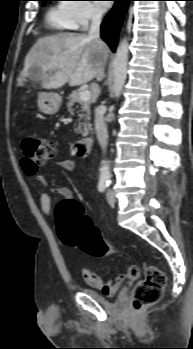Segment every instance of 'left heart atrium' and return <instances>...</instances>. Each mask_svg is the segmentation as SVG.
<instances>
[{"label":"left heart atrium","instance_id":"39dd6f15","mask_svg":"<svg viewBox=\"0 0 193 349\" xmlns=\"http://www.w3.org/2000/svg\"><path fill=\"white\" fill-rule=\"evenodd\" d=\"M100 5H101L103 8H108L110 4H108V3H100Z\"/></svg>","mask_w":193,"mask_h":349}]
</instances>
